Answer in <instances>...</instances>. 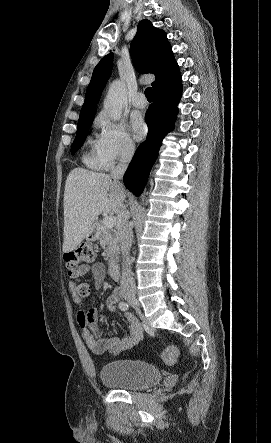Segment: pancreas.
<instances>
[{"mask_svg":"<svg viewBox=\"0 0 271 443\" xmlns=\"http://www.w3.org/2000/svg\"><path fill=\"white\" fill-rule=\"evenodd\" d=\"M99 231H100V243L105 249L107 253V257H116L118 251H119V237L116 233V231H111L109 227H104V225H101L99 223Z\"/></svg>","mask_w":271,"mask_h":443,"instance_id":"cf45deb5","label":"pancreas"}]
</instances>
